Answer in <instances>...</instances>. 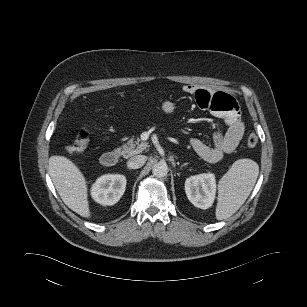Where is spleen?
I'll return each mask as SVG.
<instances>
[{
	"label": "spleen",
	"instance_id": "1",
	"mask_svg": "<svg viewBox=\"0 0 307 307\" xmlns=\"http://www.w3.org/2000/svg\"><path fill=\"white\" fill-rule=\"evenodd\" d=\"M259 174L258 164L251 159H239L220 179L217 220L227 219L238 211L250 195Z\"/></svg>",
	"mask_w": 307,
	"mask_h": 307
}]
</instances>
